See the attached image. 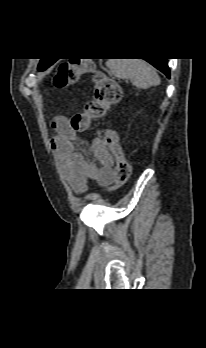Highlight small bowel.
<instances>
[{"mask_svg":"<svg viewBox=\"0 0 206 348\" xmlns=\"http://www.w3.org/2000/svg\"><path fill=\"white\" fill-rule=\"evenodd\" d=\"M51 125L54 130L51 144L61 174L76 193L85 192L89 181L102 186L115 182L113 157L100 138H95L91 144L96 164L87 160L83 150L76 148V135L68 118L56 117Z\"/></svg>","mask_w":206,"mask_h":348,"instance_id":"small-bowel-1","label":"small bowel"}]
</instances>
